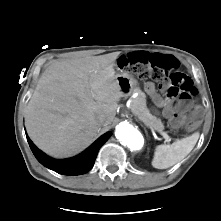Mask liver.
Segmentation results:
<instances>
[{
    "instance_id": "liver-1",
    "label": "liver",
    "mask_w": 221,
    "mask_h": 221,
    "mask_svg": "<svg viewBox=\"0 0 221 221\" xmlns=\"http://www.w3.org/2000/svg\"><path fill=\"white\" fill-rule=\"evenodd\" d=\"M119 53L57 61L42 73L27 104V132L32 141L54 157L87 147L105 117L115 118L123 92L116 81L114 62Z\"/></svg>"
}]
</instances>
